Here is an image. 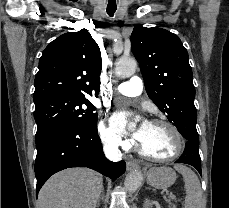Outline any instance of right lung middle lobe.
Instances as JSON below:
<instances>
[{"instance_id": "obj_1", "label": "right lung middle lobe", "mask_w": 229, "mask_h": 208, "mask_svg": "<svg viewBox=\"0 0 229 208\" xmlns=\"http://www.w3.org/2000/svg\"><path fill=\"white\" fill-rule=\"evenodd\" d=\"M34 102L36 139L63 124H74L90 130L97 129V113H94L96 108L85 97L58 94Z\"/></svg>"}]
</instances>
